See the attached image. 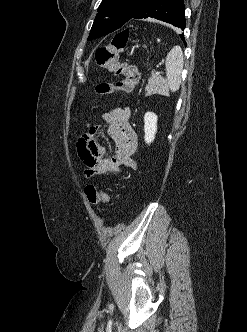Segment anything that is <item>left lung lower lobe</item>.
<instances>
[{
  "label": "left lung lower lobe",
  "instance_id": "obj_1",
  "mask_svg": "<svg viewBox=\"0 0 247 332\" xmlns=\"http://www.w3.org/2000/svg\"><path fill=\"white\" fill-rule=\"evenodd\" d=\"M155 18L170 23L184 30L185 6L183 0H146L137 10L132 19ZM181 39L186 45L183 35Z\"/></svg>",
  "mask_w": 247,
  "mask_h": 332
}]
</instances>
